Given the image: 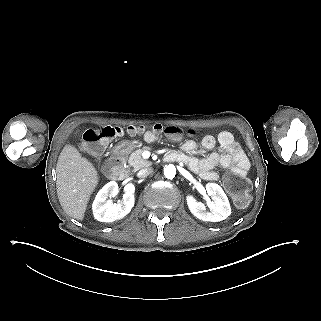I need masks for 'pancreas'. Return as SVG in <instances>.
Instances as JSON below:
<instances>
[{
    "label": "pancreas",
    "mask_w": 321,
    "mask_h": 321,
    "mask_svg": "<svg viewBox=\"0 0 321 321\" xmlns=\"http://www.w3.org/2000/svg\"><path fill=\"white\" fill-rule=\"evenodd\" d=\"M145 150H149L148 147L144 146L140 149L135 150L134 152L131 153V155L129 156V160H128V165L130 167H133V169L135 171L142 169V168H146L152 165L151 162H149L148 160L144 159L142 157V153Z\"/></svg>",
    "instance_id": "cf45deb5"
}]
</instances>
